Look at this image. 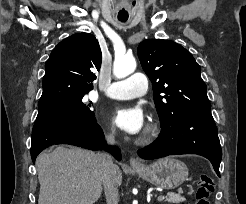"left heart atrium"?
<instances>
[{
	"label": "left heart atrium",
	"instance_id": "left-heart-atrium-1",
	"mask_svg": "<svg viewBox=\"0 0 246 204\" xmlns=\"http://www.w3.org/2000/svg\"><path fill=\"white\" fill-rule=\"evenodd\" d=\"M113 121L123 131L138 134L145 127V116L138 106H119L113 112Z\"/></svg>",
	"mask_w": 246,
	"mask_h": 204
}]
</instances>
